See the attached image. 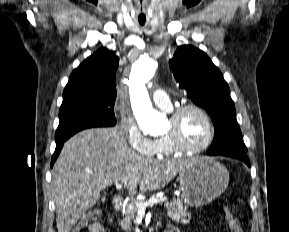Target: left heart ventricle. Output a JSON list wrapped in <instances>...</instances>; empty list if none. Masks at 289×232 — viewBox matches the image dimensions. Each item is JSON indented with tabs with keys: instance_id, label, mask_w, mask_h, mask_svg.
Wrapping results in <instances>:
<instances>
[{
	"instance_id": "1",
	"label": "left heart ventricle",
	"mask_w": 289,
	"mask_h": 232,
	"mask_svg": "<svg viewBox=\"0 0 289 232\" xmlns=\"http://www.w3.org/2000/svg\"><path fill=\"white\" fill-rule=\"evenodd\" d=\"M176 130L183 143L188 146L202 144L208 135V127L203 117L196 111H187L179 119ZM174 129L173 123L168 121L165 135Z\"/></svg>"
}]
</instances>
